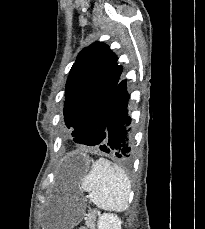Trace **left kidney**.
I'll return each mask as SVG.
<instances>
[{"label": "left kidney", "mask_w": 205, "mask_h": 229, "mask_svg": "<svg viewBox=\"0 0 205 229\" xmlns=\"http://www.w3.org/2000/svg\"><path fill=\"white\" fill-rule=\"evenodd\" d=\"M98 229H121V220L115 214L104 213L99 217Z\"/></svg>", "instance_id": "left-kidney-1"}]
</instances>
